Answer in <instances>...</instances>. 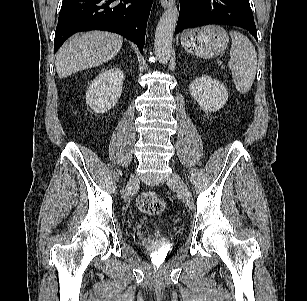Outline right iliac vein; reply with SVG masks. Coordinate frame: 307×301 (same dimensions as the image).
Returning a JSON list of instances; mask_svg holds the SVG:
<instances>
[{
  "mask_svg": "<svg viewBox=\"0 0 307 301\" xmlns=\"http://www.w3.org/2000/svg\"><path fill=\"white\" fill-rule=\"evenodd\" d=\"M139 180L137 176H132L129 180V183L125 189L124 200L127 201L132 193L133 186L138 184Z\"/></svg>",
  "mask_w": 307,
  "mask_h": 301,
  "instance_id": "1",
  "label": "right iliac vein"
}]
</instances>
